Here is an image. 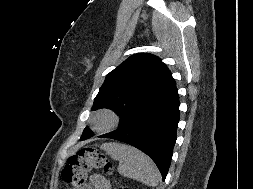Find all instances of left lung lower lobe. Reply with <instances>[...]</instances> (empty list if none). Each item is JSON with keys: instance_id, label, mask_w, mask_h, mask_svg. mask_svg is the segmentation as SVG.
Instances as JSON below:
<instances>
[{"instance_id": "obj_1", "label": "left lung lower lobe", "mask_w": 253, "mask_h": 189, "mask_svg": "<svg viewBox=\"0 0 253 189\" xmlns=\"http://www.w3.org/2000/svg\"><path fill=\"white\" fill-rule=\"evenodd\" d=\"M179 122V95L176 84L160 99L137 112L116 130L101 135L133 145L156 163L165 180L171 164ZM93 136L82 134L81 140Z\"/></svg>"}]
</instances>
